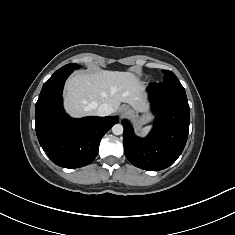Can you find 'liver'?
<instances>
[{
  "mask_svg": "<svg viewBox=\"0 0 235 235\" xmlns=\"http://www.w3.org/2000/svg\"><path fill=\"white\" fill-rule=\"evenodd\" d=\"M65 108L73 117L96 115L97 108L104 103L119 109L128 103L136 110L145 106L144 86L130 72L99 71L71 76L65 85Z\"/></svg>",
  "mask_w": 235,
  "mask_h": 235,
  "instance_id": "1",
  "label": "liver"
}]
</instances>
